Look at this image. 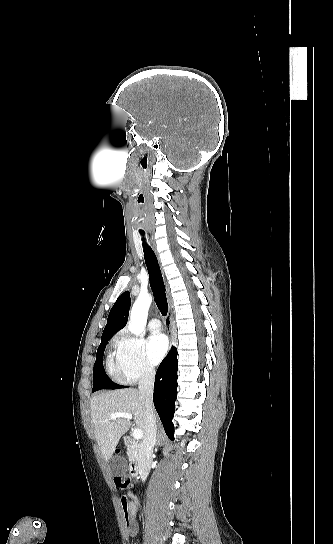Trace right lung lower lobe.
<instances>
[{
	"label": "right lung lower lobe",
	"instance_id": "right-lung-lower-lobe-1",
	"mask_svg": "<svg viewBox=\"0 0 333 544\" xmlns=\"http://www.w3.org/2000/svg\"><path fill=\"white\" fill-rule=\"evenodd\" d=\"M177 370V350L172 347L158 367L154 383V405L169 437L174 432L172 418L177 396Z\"/></svg>",
	"mask_w": 333,
	"mask_h": 544
}]
</instances>
